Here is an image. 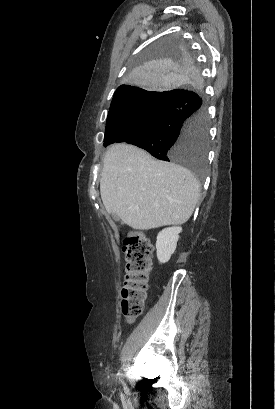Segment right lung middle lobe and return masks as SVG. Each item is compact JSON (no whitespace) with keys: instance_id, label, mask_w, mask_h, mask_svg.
I'll return each instance as SVG.
<instances>
[{"instance_id":"dd1d6c3e","label":"right lung middle lobe","mask_w":275,"mask_h":409,"mask_svg":"<svg viewBox=\"0 0 275 409\" xmlns=\"http://www.w3.org/2000/svg\"><path fill=\"white\" fill-rule=\"evenodd\" d=\"M132 57L124 85L149 90L109 109L104 146L126 142L157 159L207 177V113L204 82L185 43L178 38L151 42Z\"/></svg>"}]
</instances>
